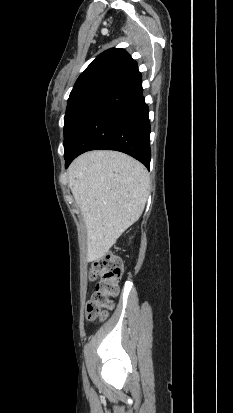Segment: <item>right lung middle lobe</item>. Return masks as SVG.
I'll return each instance as SVG.
<instances>
[{"mask_svg":"<svg viewBox=\"0 0 233 413\" xmlns=\"http://www.w3.org/2000/svg\"><path fill=\"white\" fill-rule=\"evenodd\" d=\"M115 81L109 78L98 79L71 92L64 118V157L70 152L91 112Z\"/></svg>","mask_w":233,"mask_h":413,"instance_id":"right-lung-middle-lobe-1","label":"right lung middle lobe"}]
</instances>
